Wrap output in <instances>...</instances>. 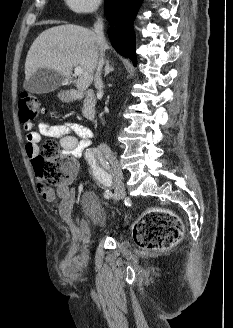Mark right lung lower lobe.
I'll return each instance as SVG.
<instances>
[{
	"mask_svg": "<svg viewBox=\"0 0 233 328\" xmlns=\"http://www.w3.org/2000/svg\"><path fill=\"white\" fill-rule=\"evenodd\" d=\"M142 0H106L105 15L109 21L108 30L112 46L136 65L133 21Z\"/></svg>",
	"mask_w": 233,
	"mask_h": 328,
	"instance_id": "98d812e1",
	"label": "right lung lower lobe"
}]
</instances>
